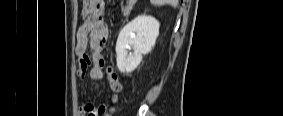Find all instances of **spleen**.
<instances>
[{"mask_svg": "<svg viewBox=\"0 0 283 116\" xmlns=\"http://www.w3.org/2000/svg\"><path fill=\"white\" fill-rule=\"evenodd\" d=\"M151 2H152V4L157 5V6H162V5H165V4H170L173 7L176 6V4L173 1L152 0Z\"/></svg>", "mask_w": 283, "mask_h": 116, "instance_id": "1", "label": "spleen"}]
</instances>
